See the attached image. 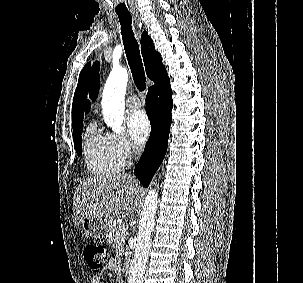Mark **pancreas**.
<instances>
[{"instance_id": "obj_1", "label": "pancreas", "mask_w": 303, "mask_h": 283, "mask_svg": "<svg viewBox=\"0 0 303 283\" xmlns=\"http://www.w3.org/2000/svg\"><path fill=\"white\" fill-rule=\"evenodd\" d=\"M126 238V230L123 224L117 221L113 222L110 233L107 236V240L110 243L118 244L124 242Z\"/></svg>"}]
</instances>
